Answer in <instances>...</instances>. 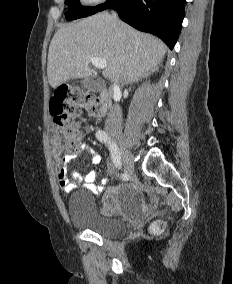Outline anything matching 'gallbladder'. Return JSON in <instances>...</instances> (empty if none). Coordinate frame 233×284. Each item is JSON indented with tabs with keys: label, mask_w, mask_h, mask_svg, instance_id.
Listing matches in <instances>:
<instances>
[{
	"label": "gallbladder",
	"mask_w": 233,
	"mask_h": 284,
	"mask_svg": "<svg viewBox=\"0 0 233 284\" xmlns=\"http://www.w3.org/2000/svg\"><path fill=\"white\" fill-rule=\"evenodd\" d=\"M77 90L79 92H100L102 90V85L97 77L90 76L81 82V85Z\"/></svg>",
	"instance_id": "obj_1"
}]
</instances>
